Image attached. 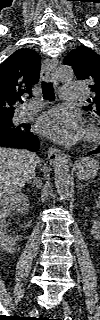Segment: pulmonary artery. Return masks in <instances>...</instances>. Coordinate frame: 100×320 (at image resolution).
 I'll use <instances>...</instances> for the list:
<instances>
[{
	"instance_id": "e3ab8cb5",
	"label": "pulmonary artery",
	"mask_w": 100,
	"mask_h": 320,
	"mask_svg": "<svg viewBox=\"0 0 100 320\" xmlns=\"http://www.w3.org/2000/svg\"><path fill=\"white\" fill-rule=\"evenodd\" d=\"M83 85L80 83H67L61 88V99L63 101H74L80 97ZM43 107L40 102L28 103L23 110L24 116H29Z\"/></svg>"
}]
</instances>
